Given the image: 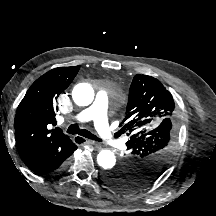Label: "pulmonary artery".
<instances>
[{
	"instance_id": "pulmonary-artery-1",
	"label": "pulmonary artery",
	"mask_w": 216,
	"mask_h": 216,
	"mask_svg": "<svg viewBox=\"0 0 216 216\" xmlns=\"http://www.w3.org/2000/svg\"><path fill=\"white\" fill-rule=\"evenodd\" d=\"M107 108L108 93L105 90H99L93 104L78 113L75 119L80 122L93 121L102 141L110 146L119 147L122 143L114 137L108 120Z\"/></svg>"
}]
</instances>
